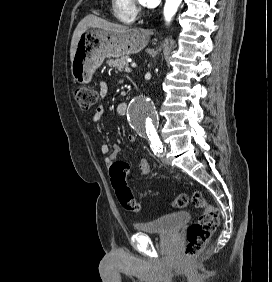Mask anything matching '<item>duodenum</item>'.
I'll return each mask as SVG.
<instances>
[{
  "label": "duodenum",
  "instance_id": "duodenum-1",
  "mask_svg": "<svg viewBox=\"0 0 272 282\" xmlns=\"http://www.w3.org/2000/svg\"><path fill=\"white\" fill-rule=\"evenodd\" d=\"M120 107H121L122 109H126V108L128 107V103L122 102V103H120Z\"/></svg>",
  "mask_w": 272,
  "mask_h": 282
}]
</instances>
